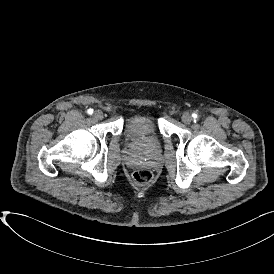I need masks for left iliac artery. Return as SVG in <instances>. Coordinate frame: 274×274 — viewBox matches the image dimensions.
Returning <instances> with one entry per match:
<instances>
[{"mask_svg": "<svg viewBox=\"0 0 274 274\" xmlns=\"http://www.w3.org/2000/svg\"><path fill=\"white\" fill-rule=\"evenodd\" d=\"M192 117H193L194 119H197L198 115L195 114V113H193V114H192Z\"/></svg>", "mask_w": 274, "mask_h": 274, "instance_id": "44dca946", "label": "left iliac artery"}]
</instances>
